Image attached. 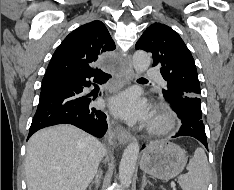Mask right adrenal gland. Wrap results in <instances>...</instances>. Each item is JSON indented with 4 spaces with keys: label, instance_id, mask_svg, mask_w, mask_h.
Listing matches in <instances>:
<instances>
[{
    "label": "right adrenal gland",
    "instance_id": "obj_1",
    "mask_svg": "<svg viewBox=\"0 0 234 190\" xmlns=\"http://www.w3.org/2000/svg\"><path fill=\"white\" fill-rule=\"evenodd\" d=\"M101 179H102V172L101 171H98L96 173V177H95V180L89 185V190L91 189V187L93 185H95L96 189L99 188V185L101 183Z\"/></svg>",
    "mask_w": 234,
    "mask_h": 190
}]
</instances>
